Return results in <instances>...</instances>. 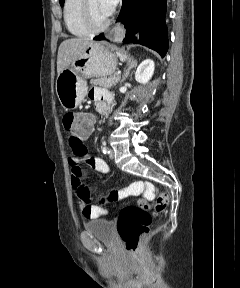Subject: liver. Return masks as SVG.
I'll use <instances>...</instances> for the list:
<instances>
[{
    "label": "liver",
    "mask_w": 240,
    "mask_h": 288,
    "mask_svg": "<svg viewBox=\"0 0 240 288\" xmlns=\"http://www.w3.org/2000/svg\"><path fill=\"white\" fill-rule=\"evenodd\" d=\"M94 41L90 38H71L64 40L58 49L57 73L58 75L76 60L85 49Z\"/></svg>",
    "instance_id": "1"
}]
</instances>
